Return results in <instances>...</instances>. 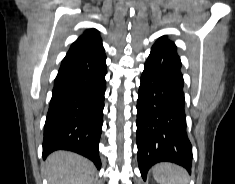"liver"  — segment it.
Here are the masks:
<instances>
[{
	"label": "liver",
	"mask_w": 235,
	"mask_h": 184,
	"mask_svg": "<svg viewBox=\"0 0 235 184\" xmlns=\"http://www.w3.org/2000/svg\"><path fill=\"white\" fill-rule=\"evenodd\" d=\"M41 172L48 184H93L95 166L78 154L53 152Z\"/></svg>",
	"instance_id": "liver-1"
}]
</instances>
